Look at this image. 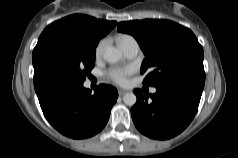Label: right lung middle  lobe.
<instances>
[{
    "instance_id": "obj_1",
    "label": "right lung middle lobe",
    "mask_w": 238,
    "mask_h": 158,
    "mask_svg": "<svg viewBox=\"0 0 238 158\" xmlns=\"http://www.w3.org/2000/svg\"><path fill=\"white\" fill-rule=\"evenodd\" d=\"M99 40L80 28L50 24L33 50L34 74L53 70L83 82L94 67Z\"/></svg>"
}]
</instances>
